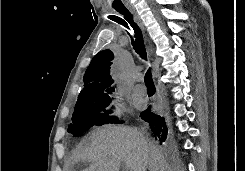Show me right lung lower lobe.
<instances>
[{
	"instance_id": "98d812e1",
	"label": "right lung lower lobe",
	"mask_w": 245,
	"mask_h": 171,
	"mask_svg": "<svg viewBox=\"0 0 245 171\" xmlns=\"http://www.w3.org/2000/svg\"><path fill=\"white\" fill-rule=\"evenodd\" d=\"M140 117L149 124L154 137L160 143L167 142L170 139L169 127L165 118L162 115L153 113L150 106L140 113Z\"/></svg>"
}]
</instances>
